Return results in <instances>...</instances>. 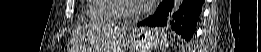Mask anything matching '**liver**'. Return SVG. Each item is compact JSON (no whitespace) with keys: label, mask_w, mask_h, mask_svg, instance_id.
Returning a JSON list of instances; mask_svg holds the SVG:
<instances>
[{"label":"liver","mask_w":261,"mask_h":52,"mask_svg":"<svg viewBox=\"0 0 261 52\" xmlns=\"http://www.w3.org/2000/svg\"><path fill=\"white\" fill-rule=\"evenodd\" d=\"M126 32V28L108 24L99 27V36H101L102 46L98 47V50H106V48L109 50L111 48L122 47Z\"/></svg>","instance_id":"obj_1"}]
</instances>
